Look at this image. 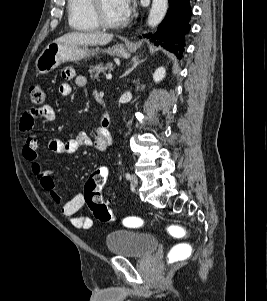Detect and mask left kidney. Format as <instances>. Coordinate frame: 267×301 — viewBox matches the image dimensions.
<instances>
[{
  "instance_id": "obj_1",
  "label": "left kidney",
  "mask_w": 267,
  "mask_h": 301,
  "mask_svg": "<svg viewBox=\"0 0 267 301\" xmlns=\"http://www.w3.org/2000/svg\"><path fill=\"white\" fill-rule=\"evenodd\" d=\"M165 75H166L165 68L164 67H159L158 69H156V71L153 74V80L156 83H159L161 80L164 79Z\"/></svg>"
}]
</instances>
